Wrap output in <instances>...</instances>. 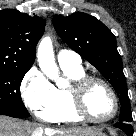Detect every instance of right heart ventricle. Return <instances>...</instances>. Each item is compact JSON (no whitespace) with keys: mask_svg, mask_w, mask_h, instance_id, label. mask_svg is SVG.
<instances>
[{"mask_svg":"<svg viewBox=\"0 0 136 136\" xmlns=\"http://www.w3.org/2000/svg\"><path fill=\"white\" fill-rule=\"evenodd\" d=\"M61 68L71 81L85 76L82 67L61 66ZM55 93L57 97V107L47 121L58 123H75L82 121L73 109L69 88H55Z\"/></svg>","mask_w":136,"mask_h":136,"instance_id":"obj_1","label":"right heart ventricle"}]
</instances>
